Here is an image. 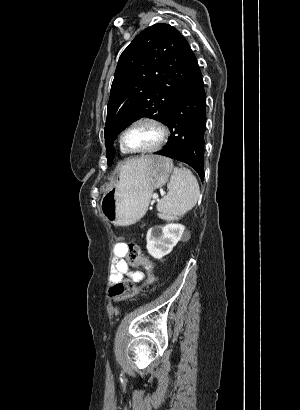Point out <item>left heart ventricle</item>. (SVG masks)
<instances>
[{"mask_svg":"<svg viewBox=\"0 0 300 410\" xmlns=\"http://www.w3.org/2000/svg\"><path fill=\"white\" fill-rule=\"evenodd\" d=\"M160 139L158 128L149 123L133 126L124 137L125 145L131 149H146L153 147Z\"/></svg>","mask_w":300,"mask_h":410,"instance_id":"left-heart-ventricle-1","label":"left heart ventricle"}]
</instances>
